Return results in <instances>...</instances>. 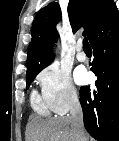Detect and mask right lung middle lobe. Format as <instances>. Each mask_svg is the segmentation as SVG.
<instances>
[{
	"label": "right lung middle lobe",
	"instance_id": "right-lung-middle-lobe-1",
	"mask_svg": "<svg viewBox=\"0 0 119 141\" xmlns=\"http://www.w3.org/2000/svg\"><path fill=\"white\" fill-rule=\"evenodd\" d=\"M39 72H36V73H31V74H27L26 75V88L28 89L31 82L33 81V79L36 77V75L38 74Z\"/></svg>",
	"mask_w": 119,
	"mask_h": 141
}]
</instances>
